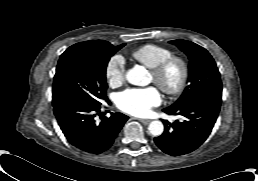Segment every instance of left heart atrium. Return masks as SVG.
<instances>
[{
	"mask_svg": "<svg viewBox=\"0 0 258 181\" xmlns=\"http://www.w3.org/2000/svg\"><path fill=\"white\" fill-rule=\"evenodd\" d=\"M160 103V92L153 86L142 89H127L117 97L118 108L135 116L147 115L153 107Z\"/></svg>",
	"mask_w": 258,
	"mask_h": 181,
	"instance_id": "obj_1",
	"label": "left heart atrium"
}]
</instances>
